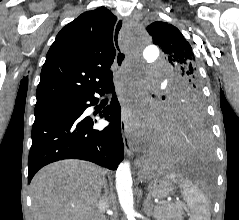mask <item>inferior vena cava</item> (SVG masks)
<instances>
[{"label":"inferior vena cava","mask_w":239,"mask_h":220,"mask_svg":"<svg viewBox=\"0 0 239 220\" xmlns=\"http://www.w3.org/2000/svg\"><path fill=\"white\" fill-rule=\"evenodd\" d=\"M109 208V199L107 197V189L105 187V194L100 197L98 203H97V220H106L105 212Z\"/></svg>","instance_id":"inferior-vena-cava-1"}]
</instances>
